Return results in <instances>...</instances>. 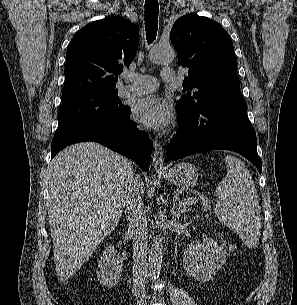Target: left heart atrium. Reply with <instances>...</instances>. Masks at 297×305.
I'll return each mask as SVG.
<instances>
[{"label":"left heart atrium","instance_id":"39dd6f15","mask_svg":"<svg viewBox=\"0 0 297 305\" xmlns=\"http://www.w3.org/2000/svg\"><path fill=\"white\" fill-rule=\"evenodd\" d=\"M133 114L142 125L155 130L168 127L172 121L170 105L157 95L140 99L134 106Z\"/></svg>","mask_w":297,"mask_h":305}]
</instances>
